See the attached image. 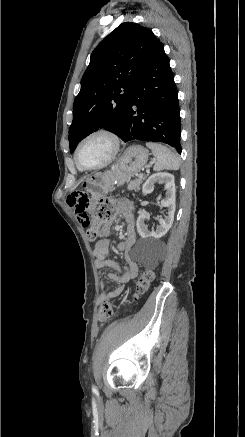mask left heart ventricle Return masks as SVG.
I'll return each instance as SVG.
<instances>
[{"instance_id":"1","label":"left heart ventricle","mask_w":245,"mask_h":437,"mask_svg":"<svg viewBox=\"0 0 245 437\" xmlns=\"http://www.w3.org/2000/svg\"><path fill=\"white\" fill-rule=\"evenodd\" d=\"M112 151V142L105 136H94L80 148L79 159L83 165L93 166L106 160Z\"/></svg>"}]
</instances>
